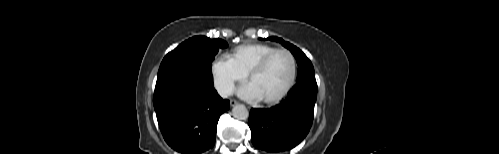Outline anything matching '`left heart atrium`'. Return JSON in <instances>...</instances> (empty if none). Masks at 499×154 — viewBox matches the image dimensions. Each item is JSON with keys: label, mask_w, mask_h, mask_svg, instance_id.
<instances>
[{"label": "left heart atrium", "mask_w": 499, "mask_h": 154, "mask_svg": "<svg viewBox=\"0 0 499 154\" xmlns=\"http://www.w3.org/2000/svg\"><path fill=\"white\" fill-rule=\"evenodd\" d=\"M237 94L241 98L249 100V101H258L261 99L255 86L251 82L245 83L242 86H240L237 90Z\"/></svg>", "instance_id": "39dd6f15"}]
</instances>
